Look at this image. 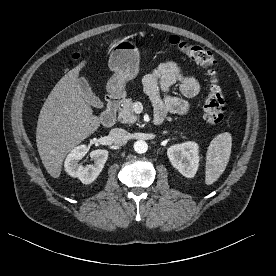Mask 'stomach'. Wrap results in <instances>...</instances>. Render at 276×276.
<instances>
[{"mask_svg":"<svg viewBox=\"0 0 276 276\" xmlns=\"http://www.w3.org/2000/svg\"><path fill=\"white\" fill-rule=\"evenodd\" d=\"M108 66L114 75L107 83V91L113 96L125 93V85L136 77L139 68V51L130 41H119L110 54Z\"/></svg>","mask_w":276,"mask_h":276,"instance_id":"stomach-1","label":"stomach"}]
</instances>
